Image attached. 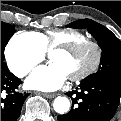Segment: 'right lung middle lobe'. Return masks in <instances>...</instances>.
Returning <instances> with one entry per match:
<instances>
[{
    "label": "right lung middle lobe",
    "instance_id": "right-lung-middle-lobe-1",
    "mask_svg": "<svg viewBox=\"0 0 121 121\" xmlns=\"http://www.w3.org/2000/svg\"><path fill=\"white\" fill-rule=\"evenodd\" d=\"M14 32L15 30L12 25L1 22V63L4 61L5 46Z\"/></svg>",
    "mask_w": 121,
    "mask_h": 121
}]
</instances>
